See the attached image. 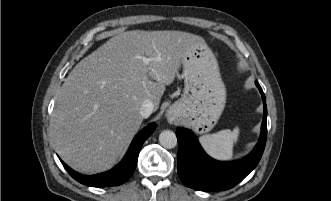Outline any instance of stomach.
I'll return each instance as SVG.
<instances>
[{"label": "stomach", "instance_id": "obj_1", "mask_svg": "<svg viewBox=\"0 0 331 201\" xmlns=\"http://www.w3.org/2000/svg\"><path fill=\"white\" fill-rule=\"evenodd\" d=\"M184 90L169 110L195 133L212 130L226 103V89L215 55L206 43L195 44L182 60Z\"/></svg>", "mask_w": 331, "mask_h": 201}]
</instances>
